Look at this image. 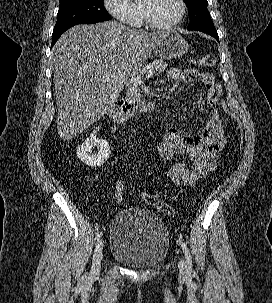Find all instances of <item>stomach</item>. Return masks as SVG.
<instances>
[{
  "instance_id": "stomach-1",
  "label": "stomach",
  "mask_w": 272,
  "mask_h": 303,
  "mask_svg": "<svg viewBox=\"0 0 272 303\" xmlns=\"http://www.w3.org/2000/svg\"><path fill=\"white\" fill-rule=\"evenodd\" d=\"M188 49V42L177 32L170 31L154 51L161 59H175L185 55Z\"/></svg>"
}]
</instances>
